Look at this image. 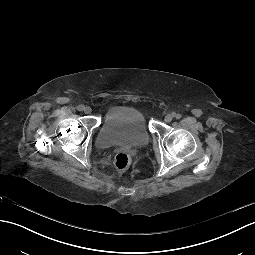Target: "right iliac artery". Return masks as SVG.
Instances as JSON below:
<instances>
[{
	"instance_id": "obj_1",
	"label": "right iliac artery",
	"mask_w": 255,
	"mask_h": 255,
	"mask_svg": "<svg viewBox=\"0 0 255 255\" xmlns=\"http://www.w3.org/2000/svg\"><path fill=\"white\" fill-rule=\"evenodd\" d=\"M84 108H85L84 105H79V106H78V110H79V111H83Z\"/></svg>"
}]
</instances>
